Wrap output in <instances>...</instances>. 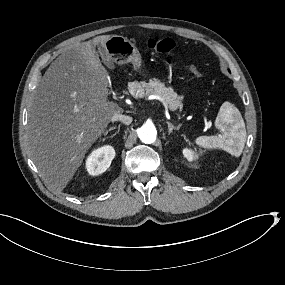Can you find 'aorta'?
Here are the masks:
<instances>
[{
    "label": "aorta",
    "mask_w": 285,
    "mask_h": 285,
    "mask_svg": "<svg viewBox=\"0 0 285 285\" xmlns=\"http://www.w3.org/2000/svg\"><path fill=\"white\" fill-rule=\"evenodd\" d=\"M138 136L143 143L151 144L156 140L157 130L153 124H143Z\"/></svg>",
    "instance_id": "aorta-1"
}]
</instances>
